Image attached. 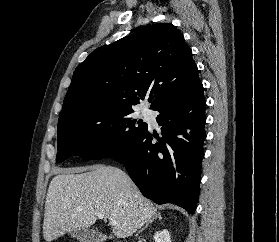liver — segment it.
I'll list each match as a JSON object with an SVG mask.
<instances>
[{"instance_id": "1", "label": "liver", "mask_w": 279, "mask_h": 242, "mask_svg": "<svg viewBox=\"0 0 279 242\" xmlns=\"http://www.w3.org/2000/svg\"><path fill=\"white\" fill-rule=\"evenodd\" d=\"M45 201L44 239L48 242L75 229H87L102 213L115 220L112 232L126 238L154 218L156 207L121 169L95 165L60 169Z\"/></svg>"}]
</instances>
